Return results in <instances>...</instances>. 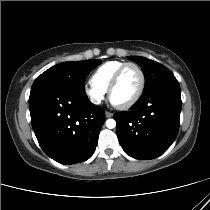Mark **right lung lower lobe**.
Wrapping results in <instances>:
<instances>
[{
    "mask_svg": "<svg viewBox=\"0 0 210 210\" xmlns=\"http://www.w3.org/2000/svg\"><path fill=\"white\" fill-rule=\"evenodd\" d=\"M31 123L43 151L61 164H75L95 152L104 110L85 93L60 86L31 90Z\"/></svg>",
    "mask_w": 210,
    "mask_h": 210,
    "instance_id": "obj_1",
    "label": "right lung lower lobe"
}]
</instances>
